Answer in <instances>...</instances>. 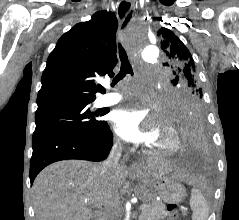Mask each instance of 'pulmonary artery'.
Instances as JSON below:
<instances>
[{"mask_svg":"<svg viewBox=\"0 0 239 220\" xmlns=\"http://www.w3.org/2000/svg\"><path fill=\"white\" fill-rule=\"evenodd\" d=\"M113 92L107 93L102 96L101 104L102 105H112L116 104L124 99L123 95L117 91L116 88H110Z\"/></svg>","mask_w":239,"mask_h":220,"instance_id":"pulmonary-artery-1","label":"pulmonary artery"}]
</instances>
